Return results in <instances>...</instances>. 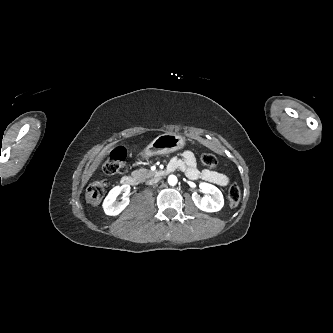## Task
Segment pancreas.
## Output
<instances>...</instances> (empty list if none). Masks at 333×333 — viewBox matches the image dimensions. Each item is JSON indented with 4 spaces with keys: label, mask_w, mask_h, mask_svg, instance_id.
Returning <instances> with one entry per match:
<instances>
[{
    "label": "pancreas",
    "mask_w": 333,
    "mask_h": 333,
    "mask_svg": "<svg viewBox=\"0 0 333 333\" xmlns=\"http://www.w3.org/2000/svg\"><path fill=\"white\" fill-rule=\"evenodd\" d=\"M154 172L147 170V169H139L132 172V177L139 182H143L146 179L152 177Z\"/></svg>",
    "instance_id": "obj_1"
}]
</instances>
